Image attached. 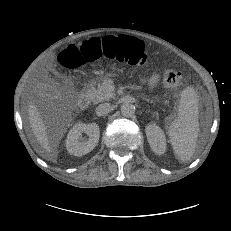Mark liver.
I'll list each match as a JSON object with an SVG mask.
<instances>
[{
    "label": "liver",
    "mask_w": 231,
    "mask_h": 231,
    "mask_svg": "<svg viewBox=\"0 0 231 231\" xmlns=\"http://www.w3.org/2000/svg\"><path fill=\"white\" fill-rule=\"evenodd\" d=\"M28 116L32 132L41 147V150L39 151L40 155L47 159L55 158L56 154L53 152L50 144L45 124L40 116L37 106L32 102L28 106Z\"/></svg>",
    "instance_id": "liver-1"
}]
</instances>
